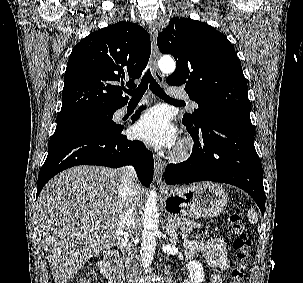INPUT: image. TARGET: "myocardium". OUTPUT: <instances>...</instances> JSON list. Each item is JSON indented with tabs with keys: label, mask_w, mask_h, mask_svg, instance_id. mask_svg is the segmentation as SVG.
<instances>
[{
	"label": "myocardium",
	"mask_w": 303,
	"mask_h": 283,
	"mask_svg": "<svg viewBox=\"0 0 303 283\" xmlns=\"http://www.w3.org/2000/svg\"><path fill=\"white\" fill-rule=\"evenodd\" d=\"M191 152V145L189 143L181 144L174 153V158L177 161H182L188 158Z\"/></svg>",
	"instance_id": "obj_1"
}]
</instances>
